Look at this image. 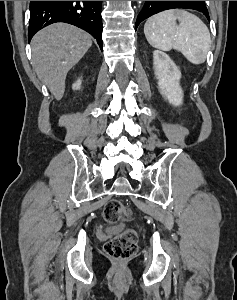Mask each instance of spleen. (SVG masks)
I'll use <instances>...</instances> for the list:
<instances>
[{
	"label": "spleen",
	"instance_id": "obj_1",
	"mask_svg": "<svg viewBox=\"0 0 237 300\" xmlns=\"http://www.w3.org/2000/svg\"><path fill=\"white\" fill-rule=\"evenodd\" d=\"M144 35L154 49H176L193 65L204 63L211 47V37L206 25L196 15L180 9L163 11L147 19Z\"/></svg>",
	"mask_w": 237,
	"mask_h": 300
}]
</instances>
